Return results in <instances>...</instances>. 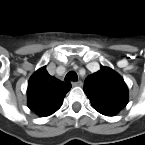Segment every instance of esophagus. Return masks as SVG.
I'll use <instances>...</instances> for the list:
<instances>
[{"mask_svg": "<svg viewBox=\"0 0 145 145\" xmlns=\"http://www.w3.org/2000/svg\"><path fill=\"white\" fill-rule=\"evenodd\" d=\"M72 85H73V86H82L83 83H82V81H73V82H72Z\"/></svg>", "mask_w": 145, "mask_h": 145, "instance_id": "esophagus-1", "label": "esophagus"}]
</instances>
